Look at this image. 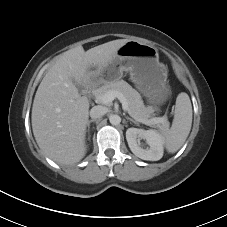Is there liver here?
Returning <instances> with one entry per match:
<instances>
[{"label": "liver", "instance_id": "liver-1", "mask_svg": "<svg viewBox=\"0 0 227 227\" xmlns=\"http://www.w3.org/2000/svg\"><path fill=\"white\" fill-rule=\"evenodd\" d=\"M127 39L84 51L77 46L61 54L42 79L32 106V129L43 153L59 164H75L86 154L89 101L74 82L85 85L94 71L107 65ZM95 70V71H96Z\"/></svg>", "mask_w": 227, "mask_h": 227}]
</instances>
